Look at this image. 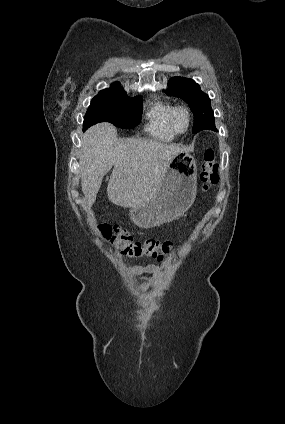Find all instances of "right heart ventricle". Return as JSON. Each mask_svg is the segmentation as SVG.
<instances>
[{"label": "right heart ventricle", "mask_w": 285, "mask_h": 424, "mask_svg": "<svg viewBox=\"0 0 285 424\" xmlns=\"http://www.w3.org/2000/svg\"><path fill=\"white\" fill-rule=\"evenodd\" d=\"M174 107L170 102H155L148 114L146 129L160 139L167 141L173 139L177 135L170 124V116Z\"/></svg>", "instance_id": "right-heart-ventricle-1"}]
</instances>
